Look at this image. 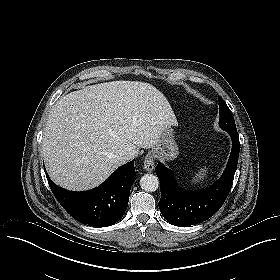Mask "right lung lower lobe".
<instances>
[{"instance_id":"right-lung-lower-lobe-1","label":"right lung lower lobe","mask_w":280,"mask_h":280,"mask_svg":"<svg viewBox=\"0 0 280 280\" xmlns=\"http://www.w3.org/2000/svg\"><path fill=\"white\" fill-rule=\"evenodd\" d=\"M46 176L61 206L79 222L97 227H107L121 219L136 179L134 160L118 168L97 188L85 192L63 189Z\"/></svg>"}]
</instances>
